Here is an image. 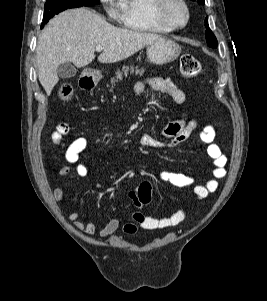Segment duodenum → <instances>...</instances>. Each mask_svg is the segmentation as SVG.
<instances>
[{
  "instance_id": "obj_1",
  "label": "duodenum",
  "mask_w": 267,
  "mask_h": 301,
  "mask_svg": "<svg viewBox=\"0 0 267 301\" xmlns=\"http://www.w3.org/2000/svg\"><path fill=\"white\" fill-rule=\"evenodd\" d=\"M82 87L86 89L93 88L96 83V77L91 74L83 75L81 79Z\"/></svg>"
}]
</instances>
